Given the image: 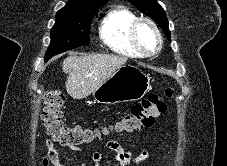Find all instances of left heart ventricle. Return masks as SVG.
<instances>
[{"label":"left heart ventricle","instance_id":"b2bd125f","mask_svg":"<svg viewBox=\"0 0 227 166\" xmlns=\"http://www.w3.org/2000/svg\"><path fill=\"white\" fill-rule=\"evenodd\" d=\"M137 37L141 46L145 50L151 51L155 49L157 45V38L152 29L147 24H142L139 26Z\"/></svg>","mask_w":227,"mask_h":166}]
</instances>
